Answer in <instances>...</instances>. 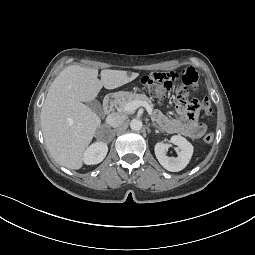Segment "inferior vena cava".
<instances>
[{"mask_svg": "<svg viewBox=\"0 0 255 255\" xmlns=\"http://www.w3.org/2000/svg\"><path fill=\"white\" fill-rule=\"evenodd\" d=\"M125 116L119 113H111L106 118V123L114 128L121 126L125 121Z\"/></svg>", "mask_w": 255, "mask_h": 255, "instance_id": "obj_1", "label": "inferior vena cava"}]
</instances>
